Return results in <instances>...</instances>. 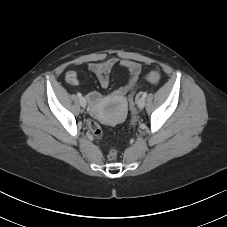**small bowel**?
I'll return each instance as SVG.
<instances>
[{"label": "small bowel", "mask_w": 227, "mask_h": 227, "mask_svg": "<svg viewBox=\"0 0 227 227\" xmlns=\"http://www.w3.org/2000/svg\"><path fill=\"white\" fill-rule=\"evenodd\" d=\"M116 65L126 69L129 74L127 82L111 94L112 97L122 100L132 91L139 79L141 73V65L139 63L132 60L112 57L104 61L90 62L87 68L96 75L100 86L107 88L110 83V72ZM65 81L70 85H78L79 78L77 72L73 70L66 72ZM87 97L92 107H96L102 99L101 94L96 91L90 92Z\"/></svg>", "instance_id": "c3829d8e"}]
</instances>
